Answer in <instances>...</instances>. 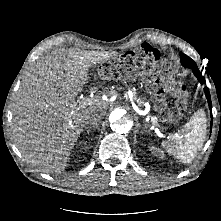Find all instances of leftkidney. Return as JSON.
Returning a JSON list of instances; mask_svg holds the SVG:
<instances>
[{
    "label": "left kidney",
    "instance_id": "5707ae66",
    "mask_svg": "<svg viewBox=\"0 0 221 221\" xmlns=\"http://www.w3.org/2000/svg\"><path fill=\"white\" fill-rule=\"evenodd\" d=\"M151 151L153 154L159 156L160 158L163 157V152L159 149H157L156 147H151Z\"/></svg>",
    "mask_w": 221,
    "mask_h": 221
}]
</instances>
